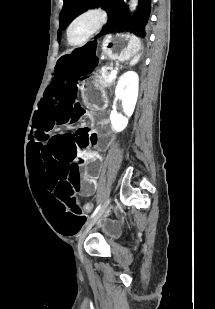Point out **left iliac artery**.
<instances>
[{"instance_id": "44dca946", "label": "left iliac artery", "mask_w": 215, "mask_h": 309, "mask_svg": "<svg viewBox=\"0 0 215 309\" xmlns=\"http://www.w3.org/2000/svg\"><path fill=\"white\" fill-rule=\"evenodd\" d=\"M105 206H106V202H105V203H104V202H101V203L97 206V208L95 209V211H94V213L92 214L91 217L93 218L95 215L101 213V212L104 210Z\"/></svg>"}]
</instances>
